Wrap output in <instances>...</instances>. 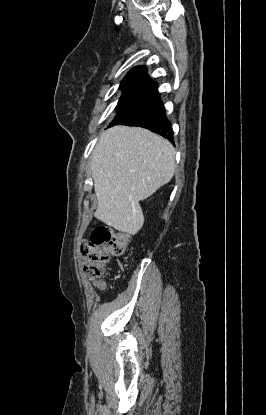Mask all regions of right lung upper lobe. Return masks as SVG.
Returning a JSON list of instances; mask_svg holds the SVG:
<instances>
[{"label":"right lung upper lobe","instance_id":"right-lung-upper-lobe-1","mask_svg":"<svg viewBox=\"0 0 266 415\" xmlns=\"http://www.w3.org/2000/svg\"><path fill=\"white\" fill-rule=\"evenodd\" d=\"M123 92L150 95L157 91V84L147 76L145 67L132 68L121 82Z\"/></svg>","mask_w":266,"mask_h":415}]
</instances>
